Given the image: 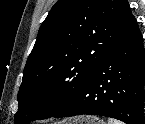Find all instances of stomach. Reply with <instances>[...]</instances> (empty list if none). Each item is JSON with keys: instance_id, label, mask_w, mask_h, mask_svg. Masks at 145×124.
Here are the masks:
<instances>
[{"instance_id": "obj_1", "label": "stomach", "mask_w": 145, "mask_h": 124, "mask_svg": "<svg viewBox=\"0 0 145 124\" xmlns=\"http://www.w3.org/2000/svg\"><path fill=\"white\" fill-rule=\"evenodd\" d=\"M59 124H105V123L96 117L82 116V117H77L74 119L64 121V123H59Z\"/></svg>"}]
</instances>
